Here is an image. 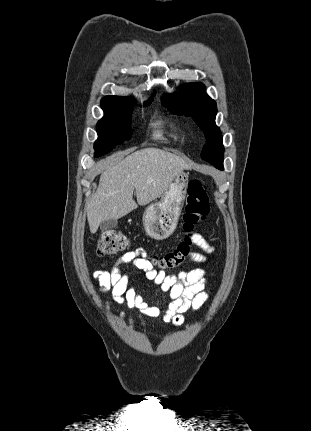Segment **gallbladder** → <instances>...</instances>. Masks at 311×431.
<instances>
[{"mask_svg": "<svg viewBox=\"0 0 311 431\" xmlns=\"http://www.w3.org/2000/svg\"><path fill=\"white\" fill-rule=\"evenodd\" d=\"M116 225H118L117 219H105V221L100 223V229H102V231H109V229H113Z\"/></svg>", "mask_w": 311, "mask_h": 431, "instance_id": "obj_1", "label": "gallbladder"}]
</instances>
